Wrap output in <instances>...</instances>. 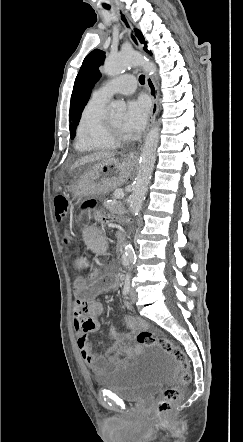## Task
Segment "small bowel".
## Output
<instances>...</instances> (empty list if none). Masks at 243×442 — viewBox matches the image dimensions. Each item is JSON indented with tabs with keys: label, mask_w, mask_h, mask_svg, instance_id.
Masks as SVG:
<instances>
[{
	"label": "small bowel",
	"mask_w": 243,
	"mask_h": 442,
	"mask_svg": "<svg viewBox=\"0 0 243 442\" xmlns=\"http://www.w3.org/2000/svg\"><path fill=\"white\" fill-rule=\"evenodd\" d=\"M120 279L121 276L118 273L101 274L100 268L96 267L91 283L79 280L74 287L76 300L73 313L77 347L82 360L95 374L108 373L130 366L141 352L140 345L128 343L131 338L130 334L122 335L114 326L109 329V336L113 344L107 352L95 349L88 340L89 334L99 329L98 317L104 311L103 304L94 300V296L116 290ZM83 307L85 311L82 310ZM125 308L130 310L132 306L126 302ZM124 324L132 332L146 327L145 321L135 316L127 318Z\"/></svg>",
	"instance_id": "c3829d8e"
}]
</instances>
